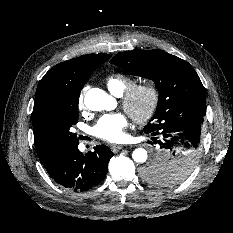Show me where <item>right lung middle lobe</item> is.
<instances>
[{"label": "right lung middle lobe", "instance_id": "obj_1", "mask_svg": "<svg viewBox=\"0 0 233 233\" xmlns=\"http://www.w3.org/2000/svg\"><path fill=\"white\" fill-rule=\"evenodd\" d=\"M79 97L46 104L32 114L38 156L50 154L79 143L71 127L78 122Z\"/></svg>", "mask_w": 233, "mask_h": 233}]
</instances>
